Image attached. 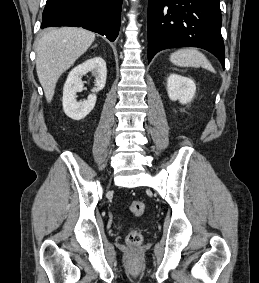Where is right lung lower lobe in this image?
I'll use <instances>...</instances> for the list:
<instances>
[{
	"label": "right lung lower lobe",
	"mask_w": 259,
	"mask_h": 283,
	"mask_svg": "<svg viewBox=\"0 0 259 283\" xmlns=\"http://www.w3.org/2000/svg\"><path fill=\"white\" fill-rule=\"evenodd\" d=\"M123 0H47L41 27L75 26L114 41L120 29Z\"/></svg>",
	"instance_id": "right-lung-lower-lobe-1"
}]
</instances>
